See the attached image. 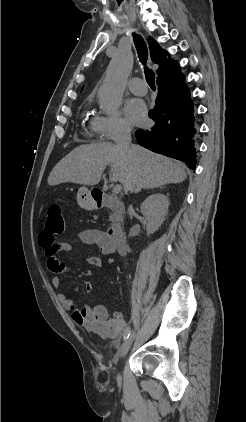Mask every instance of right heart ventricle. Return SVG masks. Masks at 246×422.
<instances>
[{
  "label": "right heart ventricle",
  "instance_id": "right-heart-ventricle-1",
  "mask_svg": "<svg viewBox=\"0 0 246 422\" xmlns=\"http://www.w3.org/2000/svg\"><path fill=\"white\" fill-rule=\"evenodd\" d=\"M92 122H93V120H91V122H90L91 128H92Z\"/></svg>",
  "mask_w": 246,
  "mask_h": 422
}]
</instances>
